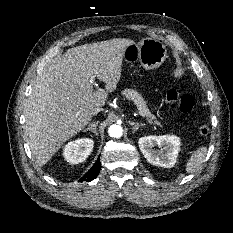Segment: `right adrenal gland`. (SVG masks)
Segmentation results:
<instances>
[{"mask_svg": "<svg viewBox=\"0 0 233 233\" xmlns=\"http://www.w3.org/2000/svg\"><path fill=\"white\" fill-rule=\"evenodd\" d=\"M98 122L99 121L92 122L86 129L83 130V132L92 131L93 133H95L97 135L96 126H97Z\"/></svg>", "mask_w": 233, "mask_h": 233, "instance_id": "2a0ac1e0", "label": "right adrenal gland"}]
</instances>
